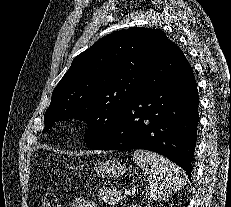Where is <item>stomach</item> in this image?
<instances>
[{
  "mask_svg": "<svg viewBox=\"0 0 231 207\" xmlns=\"http://www.w3.org/2000/svg\"><path fill=\"white\" fill-rule=\"evenodd\" d=\"M94 170L98 176L116 178L126 172V167L121 162L109 160L96 162Z\"/></svg>",
  "mask_w": 231,
  "mask_h": 207,
  "instance_id": "obj_1",
  "label": "stomach"
}]
</instances>
